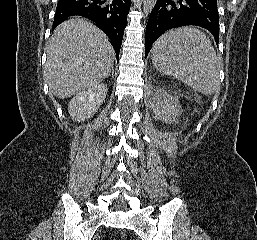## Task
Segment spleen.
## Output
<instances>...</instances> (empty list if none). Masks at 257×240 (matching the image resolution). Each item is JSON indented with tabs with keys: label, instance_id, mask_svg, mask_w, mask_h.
I'll list each match as a JSON object with an SVG mask.
<instances>
[{
	"label": "spleen",
	"instance_id": "spleen-1",
	"mask_svg": "<svg viewBox=\"0 0 257 240\" xmlns=\"http://www.w3.org/2000/svg\"><path fill=\"white\" fill-rule=\"evenodd\" d=\"M154 67L194 90L210 95L220 90V63L210 39L194 27L170 30L151 50Z\"/></svg>",
	"mask_w": 257,
	"mask_h": 240
}]
</instances>
